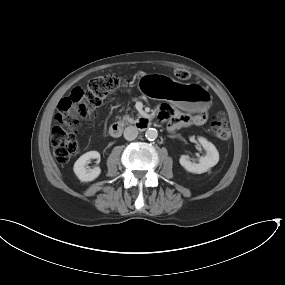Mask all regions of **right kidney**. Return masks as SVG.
Masks as SVG:
<instances>
[{
	"label": "right kidney",
	"instance_id": "right-kidney-1",
	"mask_svg": "<svg viewBox=\"0 0 285 285\" xmlns=\"http://www.w3.org/2000/svg\"><path fill=\"white\" fill-rule=\"evenodd\" d=\"M91 159H97L100 161V154L97 151H89L82 156L74 164V173L78 177V179L82 182H90L95 180L101 173V169L99 167H95L93 169L88 168V163Z\"/></svg>",
	"mask_w": 285,
	"mask_h": 285
}]
</instances>
